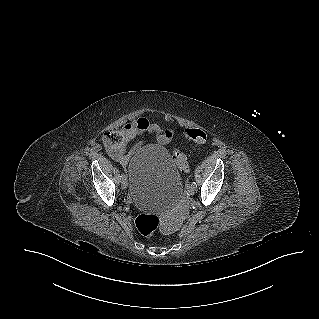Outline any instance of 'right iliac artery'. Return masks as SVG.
I'll use <instances>...</instances> for the list:
<instances>
[{
    "label": "right iliac artery",
    "instance_id": "obj_1",
    "mask_svg": "<svg viewBox=\"0 0 319 319\" xmlns=\"http://www.w3.org/2000/svg\"><path fill=\"white\" fill-rule=\"evenodd\" d=\"M124 177H125V175H124V174H122V175H121V179H123Z\"/></svg>",
    "mask_w": 319,
    "mask_h": 319
}]
</instances>
